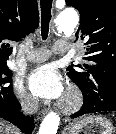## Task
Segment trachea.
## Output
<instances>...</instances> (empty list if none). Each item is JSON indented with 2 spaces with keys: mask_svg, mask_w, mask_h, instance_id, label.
Listing matches in <instances>:
<instances>
[{
  "mask_svg": "<svg viewBox=\"0 0 116 134\" xmlns=\"http://www.w3.org/2000/svg\"><path fill=\"white\" fill-rule=\"evenodd\" d=\"M41 7V35L46 40L49 32V24L51 21L52 0H40Z\"/></svg>",
  "mask_w": 116,
  "mask_h": 134,
  "instance_id": "1",
  "label": "trachea"
}]
</instances>
